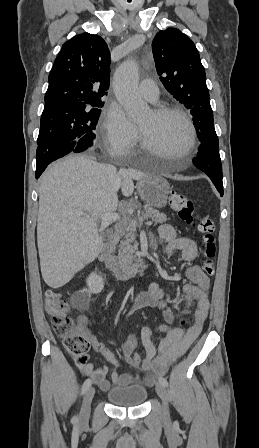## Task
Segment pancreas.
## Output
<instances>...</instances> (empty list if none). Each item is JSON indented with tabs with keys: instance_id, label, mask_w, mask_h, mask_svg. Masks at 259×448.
<instances>
[{
	"instance_id": "pancreas-1",
	"label": "pancreas",
	"mask_w": 259,
	"mask_h": 448,
	"mask_svg": "<svg viewBox=\"0 0 259 448\" xmlns=\"http://www.w3.org/2000/svg\"><path fill=\"white\" fill-rule=\"evenodd\" d=\"M144 218H151L152 222L156 224H164L167 220L166 214H160L158 210H153V208H145ZM136 230L135 228H129L125 232V236L120 242L118 258L124 264H132V262H139L137 256H134L136 250H138V244L136 242ZM133 244V246H131Z\"/></svg>"
}]
</instances>
